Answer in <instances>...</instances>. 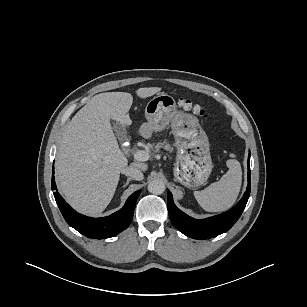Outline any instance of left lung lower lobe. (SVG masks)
<instances>
[{
    "label": "left lung lower lobe",
    "instance_id": "obj_1",
    "mask_svg": "<svg viewBox=\"0 0 307 307\" xmlns=\"http://www.w3.org/2000/svg\"><path fill=\"white\" fill-rule=\"evenodd\" d=\"M250 152L248 155V186L242 199L231 210L210 218L203 220L194 219L184 212L179 210L172 198L171 192L167 194V207L169 211V217L172 224L183 234L188 237L204 240L212 237H216L226 231H228L241 216L248 198L250 196Z\"/></svg>",
    "mask_w": 307,
    "mask_h": 307
}]
</instances>
